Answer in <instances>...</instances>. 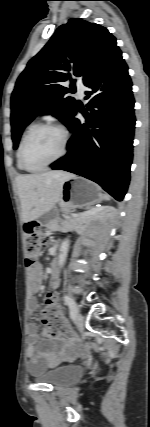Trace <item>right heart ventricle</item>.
<instances>
[{
	"instance_id": "e07e8e85",
	"label": "right heart ventricle",
	"mask_w": 150,
	"mask_h": 427,
	"mask_svg": "<svg viewBox=\"0 0 150 427\" xmlns=\"http://www.w3.org/2000/svg\"><path fill=\"white\" fill-rule=\"evenodd\" d=\"M34 126V124L33 123H30V124H28L27 126H26V128L24 129V131H23V133H22V135H21V138H20V141H19V145H18V149H17V153H16V157H17V164H18V167L20 168V169H22V170H24L23 168H22V165H21V163H20V148H21V144H22V142H23V139L25 138V136L27 135V133L29 132V130L32 128Z\"/></svg>"
}]
</instances>
